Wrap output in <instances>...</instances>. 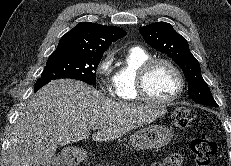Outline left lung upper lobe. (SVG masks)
Listing matches in <instances>:
<instances>
[{"label": "left lung upper lobe", "instance_id": "5c2ea615", "mask_svg": "<svg viewBox=\"0 0 231 166\" xmlns=\"http://www.w3.org/2000/svg\"><path fill=\"white\" fill-rule=\"evenodd\" d=\"M139 32L151 47L166 53L181 67L188 81L189 97L193 101L202 105L218 106L201 75L199 62L189 50L187 40L171 24L157 22L139 28Z\"/></svg>", "mask_w": 231, "mask_h": 166}]
</instances>
